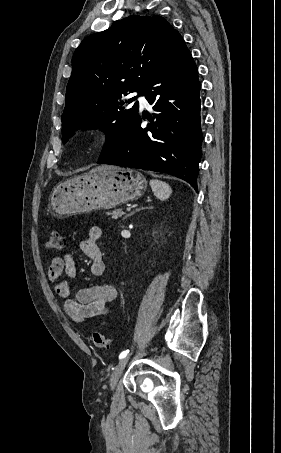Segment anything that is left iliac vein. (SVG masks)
<instances>
[{
    "mask_svg": "<svg viewBox=\"0 0 281 453\" xmlns=\"http://www.w3.org/2000/svg\"><path fill=\"white\" fill-rule=\"evenodd\" d=\"M130 359V357H123L122 360H120L119 363L116 364V368L114 371L111 373L109 382L111 383L109 386L113 389H116L118 387L117 380L119 379V376L123 370L125 369V364H127V361Z\"/></svg>",
    "mask_w": 281,
    "mask_h": 453,
    "instance_id": "1",
    "label": "left iliac vein"
}]
</instances>
